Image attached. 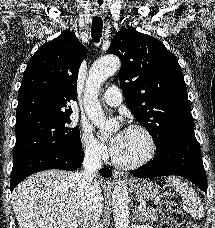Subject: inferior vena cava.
Instances as JSON below:
<instances>
[{
	"instance_id": "obj_1",
	"label": "inferior vena cava",
	"mask_w": 215,
	"mask_h": 228,
	"mask_svg": "<svg viewBox=\"0 0 215 228\" xmlns=\"http://www.w3.org/2000/svg\"><path fill=\"white\" fill-rule=\"evenodd\" d=\"M82 166V172L74 174V182L82 208L83 228H102L99 220L103 196L97 176L102 168L100 150L95 146H86Z\"/></svg>"
}]
</instances>
